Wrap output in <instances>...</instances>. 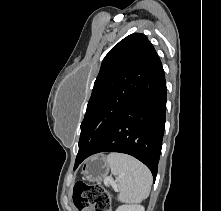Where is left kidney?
<instances>
[{
  "mask_svg": "<svg viewBox=\"0 0 221 211\" xmlns=\"http://www.w3.org/2000/svg\"><path fill=\"white\" fill-rule=\"evenodd\" d=\"M116 211H145V209L141 205H122Z\"/></svg>",
  "mask_w": 221,
  "mask_h": 211,
  "instance_id": "1",
  "label": "left kidney"
}]
</instances>
